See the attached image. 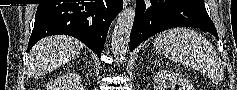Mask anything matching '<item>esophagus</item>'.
<instances>
[{
	"instance_id": "obj_1",
	"label": "esophagus",
	"mask_w": 237,
	"mask_h": 90,
	"mask_svg": "<svg viewBox=\"0 0 237 90\" xmlns=\"http://www.w3.org/2000/svg\"><path fill=\"white\" fill-rule=\"evenodd\" d=\"M128 2L129 0H124V5H127Z\"/></svg>"
}]
</instances>
